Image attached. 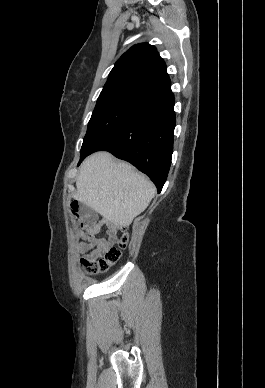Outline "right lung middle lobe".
<instances>
[{
  "label": "right lung middle lobe",
  "mask_w": 265,
  "mask_h": 388,
  "mask_svg": "<svg viewBox=\"0 0 265 388\" xmlns=\"http://www.w3.org/2000/svg\"><path fill=\"white\" fill-rule=\"evenodd\" d=\"M147 101L128 93H101L88 123V130L81 148V158L86 156L96 143L137 112Z\"/></svg>",
  "instance_id": "dd1d6c3e"
}]
</instances>
